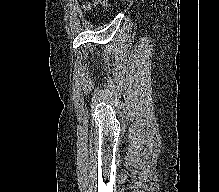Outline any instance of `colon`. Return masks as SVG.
<instances>
[{
	"label": "colon",
	"instance_id": "5ec220e1",
	"mask_svg": "<svg viewBox=\"0 0 219 192\" xmlns=\"http://www.w3.org/2000/svg\"><path fill=\"white\" fill-rule=\"evenodd\" d=\"M94 6H96V4H94V3H87L86 5H85V9L86 10H91Z\"/></svg>",
	"mask_w": 219,
	"mask_h": 192
}]
</instances>
